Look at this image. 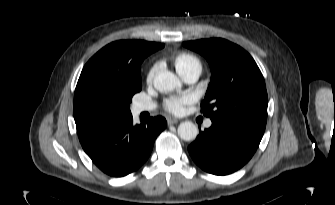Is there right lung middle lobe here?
<instances>
[{"label":"right lung middle lobe","instance_id":"obj_1","mask_svg":"<svg viewBox=\"0 0 335 205\" xmlns=\"http://www.w3.org/2000/svg\"><path fill=\"white\" fill-rule=\"evenodd\" d=\"M142 89L140 69H138V77L136 82L127 90L125 96L122 98L121 103L127 108L130 106L132 96Z\"/></svg>","mask_w":335,"mask_h":205}]
</instances>
